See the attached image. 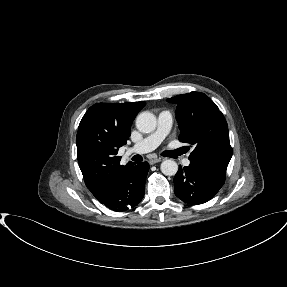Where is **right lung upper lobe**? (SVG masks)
<instances>
[{
	"label": "right lung upper lobe",
	"instance_id": "right-lung-upper-lobe-1",
	"mask_svg": "<svg viewBox=\"0 0 287 287\" xmlns=\"http://www.w3.org/2000/svg\"><path fill=\"white\" fill-rule=\"evenodd\" d=\"M145 104L98 103L83 116L76 137L77 158L85 184L96 198L124 169L118 149L127 143L133 120Z\"/></svg>",
	"mask_w": 287,
	"mask_h": 287
}]
</instances>
